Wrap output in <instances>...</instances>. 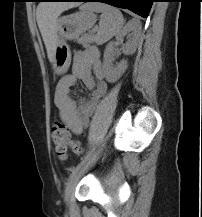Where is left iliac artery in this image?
I'll return each mask as SVG.
<instances>
[{"label": "left iliac artery", "mask_w": 202, "mask_h": 217, "mask_svg": "<svg viewBox=\"0 0 202 217\" xmlns=\"http://www.w3.org/2000/svg\"><path fill=\"white\" fill-rule=\"evenodd\" d=\"M88 159V157H86L82 162H80L76 167H74L72 169V172L69 176L68 179V183L72 180V178L76 175V173L78 172V170L83 166V164L86 162V160Z\"/></svg>", "instance_id": "1"}]
</instances>
